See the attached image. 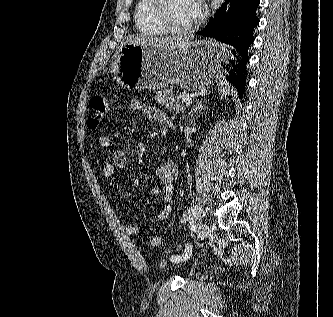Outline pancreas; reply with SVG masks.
I'll list each match as a JSON object with an SVG mask.
<instances>
[{
    "instance_id": "obj_1",
    "label": "pancreas",
    "mask_w": 333,
    "mask_h": 317,
    "mask_svg": "<svg viewBox=\"0 0 333 317\" xmlns=\"http://www.w3.org/2000/svg\"><path fill=\"white\" fill-rule=\"evenodd\" d=\"M158 104L165 106L169 110H173L175 113L181 114L185 111L186 106L182 105L174 98L173 91L170 89L159 90L155 96Z\"/></svg>"
}]
</instances>
